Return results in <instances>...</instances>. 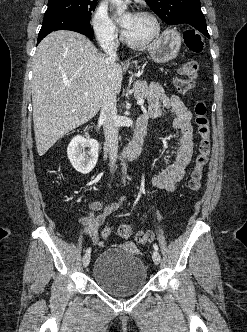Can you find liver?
Masks as SVG:
<instances>
[{
  "label": "liver",
  "instance_id": "obj_1",
  "mask_svg": "<svg viewBox=\"0 0 247 332\" xmlns=\"http://www.w3.org/2000/svg\"><path fill=\"white\" fill-rule=\"evenodd\" d=\"M122 75L121 65L98 53L84 35L60 30L46 36L33 59L31 82L39 156L91 120L108 89L120 93Z\"/></svg>",
  "mask_w": 247,
  "mask_h": 332
}]
</instances>
